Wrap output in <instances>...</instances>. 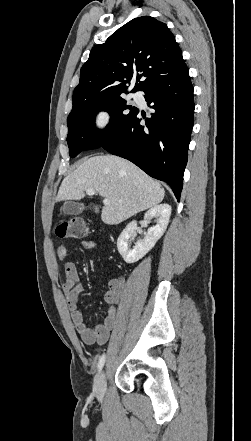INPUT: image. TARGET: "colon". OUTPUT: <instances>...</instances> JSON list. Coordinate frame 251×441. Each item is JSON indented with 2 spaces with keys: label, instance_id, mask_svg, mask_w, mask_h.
I'll return each instance as SVG.
<instances>
[{
  "label": "colon",
  "instance_id": "5ec220e1",
  "mask_svg": "<svg viewBox=\"0 0 251 441\" xmlns=\"http://www.w3.org/2000/svg\"><path fill=\"white\" fill-rule=\"evenodd\" d=\"M56 234L60 238L82 239L90 234V229L82 218H73L60 223L56 228Z\"/></svg>",
  "mask_w": 251,
  "mask_h": 441
}]
</instances>
